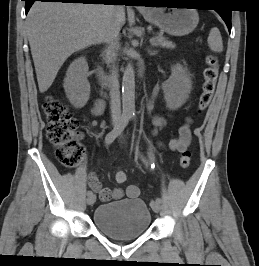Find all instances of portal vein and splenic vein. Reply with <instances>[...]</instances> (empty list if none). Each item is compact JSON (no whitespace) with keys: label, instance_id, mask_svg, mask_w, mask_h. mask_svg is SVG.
<instances>
[{"label":"portal vein and splenic vein","instance_id":"obj_1","mask_svg":"<svg viewBox=\"0 0 259 266\" xmlns=\"http://www.w3.org/2000/svg\"><path fill=\"white\" fill-rule=\"evenodd\" d=\"M155 41V38H152L151 40H150V42H154Z\"/></svg>","mask_w":259,"mask_h":266}]
</instances>
